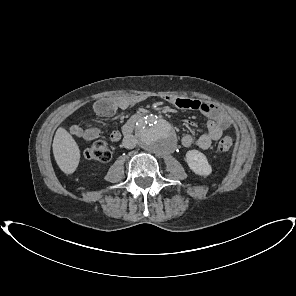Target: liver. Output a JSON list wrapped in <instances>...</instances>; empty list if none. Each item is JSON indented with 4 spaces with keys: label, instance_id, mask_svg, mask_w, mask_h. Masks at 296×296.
Segmentation results:
<instances>
[{
    "label": "liver",
    "instance_id": "6515ba94",
    "mask_svg": "<svg viewBox=\"0 0 296 296\" xmlns=\"http://www.w3.org/2000/svg\"><path fill=\"white\" fill-rule=\"evenodd\" d=\"M52 148L59 168L66 174H72L80 161V150L73 137L64 128L59 127Z\"/></svg>",
    "mask_w": 296,
    "mask_h": 296
}]
</instances>
